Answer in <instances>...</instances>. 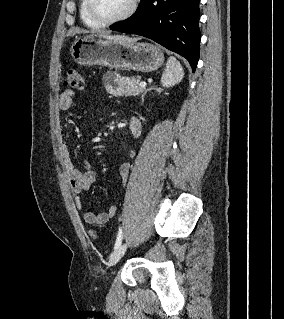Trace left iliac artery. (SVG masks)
I'll list each match as a JSON object with an SVG mask.
<instances>
[{
	"instance_id": "left-iliac-artery-1",
	"label": "left iliac artery",
	"mask_w": 284,
	"mask_h": 319,
	"mask_svg": "<svg viewBox=\"0 0 284 319\" xmlns=\"http://www.w3.org/2000/svg\"><path fill=\"white\" fill-rule=\"evenodd\" d=\"M122 238H123L122 228L120 227L119 231H118V234H117V238H116V242H115V245H114V249H117L121 245Z\"/></svg>"
}]
</instances>
